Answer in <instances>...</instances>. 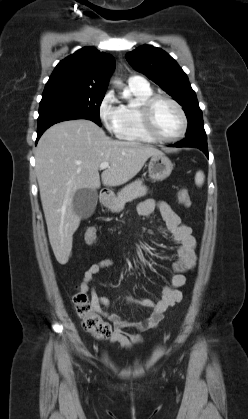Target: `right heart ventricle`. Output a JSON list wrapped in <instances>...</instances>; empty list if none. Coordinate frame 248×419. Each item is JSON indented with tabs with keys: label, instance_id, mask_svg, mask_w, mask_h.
<instances>
[{
	"label": "right heart ventricle",
	"instance_id": "obj_1",
	"mask_svg": "<svg viewBox=\"0 0 248 419\" xmlns=\"http://www.w3.org/2000/svg\"><path fill=\"white\" fill-rule=\"evenodd\" d=\"M128 92L135 99L134 104H122V122L118 132V137L122 140L149 143L153 140L148 137L141 126L139 118V107L143 101L153 95L152 89L147 86L144 88L128 86Z\"/></svg>",
	"mask_w": 248,
	"mask_h": 419
}]
</instances>
